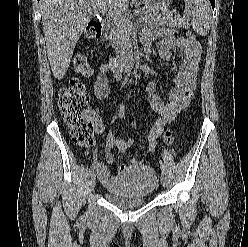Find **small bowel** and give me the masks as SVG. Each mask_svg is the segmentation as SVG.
<instances>
[{
    "label": "small bowel",
    "mask_w": 248,
    "mask_h": 247,
    "mask_svg": "<svg viewBox=\"0 0 248 247\" xmlns=\"http://www.w3.org/2000/svg\"><path fill=\"white\" fill-rule=\"evenodd\" d=\"M161 39L156 42V48L162 60L166 62L172 61L175 52L181 54L179 66L175 76V86L170 90L167 104L158 93V84L156 80L148 82L146 92L149 97V103L152 109L161 115H164L167 123L173 122L177 114L189 105L193 99L194 92L197 86L198 64L201 59L202 50L196 40H188L184 37H176L171 29L163 28L159 31ZM145 49H149V42L144 41ZM115 60H110L100 66L98 73L94 80V94L99 100H105L109 95V86L107 73H117L115 68ZM123 118V114L118 116ZM92 121L94 130L97 134H102L105 131V126L101 118L93 114ZM164 141L166 144L173 142V135L170 131H165ZM134 143L133 138H120L113 133H108L106 137V153L105 161H95L96 172L100 181L108 188L115 189L117 177L111 175L107 163L114 161L112 149L117 148L121 151H128L132 149ZM132 165L148 167L150 161L147 159L131 160ZM128 167L125 164L119 166V172H123Z\"/></svg>",
    "instance_id": "1"
}]
</instances>
